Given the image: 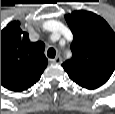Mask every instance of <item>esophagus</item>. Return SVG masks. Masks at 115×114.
<instances>
[{"label":"esophagus","instance_id":"1","mask_svg":"<svg viewBox=\"0 0 115 114\" xmlns=\"http://www.w3.org/2000/svg\"><path fill=\"white\" fill-rule=\"evenodd\" d=\"M51 62L55 63V64H61L62 63V59H61L60 56H57L56 58L52 59Z\"/></svg>","mask_w":115,"mask_h":114}]
</instances>
